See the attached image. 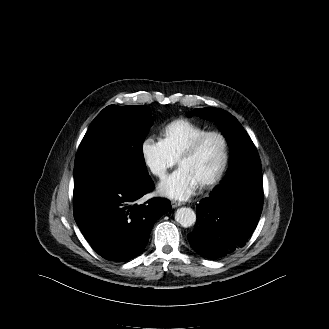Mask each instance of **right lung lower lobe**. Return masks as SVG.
<instances>
[{
	"label": "right lung lower lobe",
	"mask_w": 329,
	"mask_h": 329,
	"mask_svg": "<svg viewBox=\"0 0 329 329\" xmlns=\"http://www.w3.org/2000/svg\"><path fill=\"white\" fill-rule=\"evenodd\" d=\"M149 176L140 185L93 178L74 186V218L85 238L105 259L123 262L146 246L154 223L171 209L166 199L133 202L153 190Z\"/></svg>",
	"instance_id": "98d812e1"
}]
</instances>
